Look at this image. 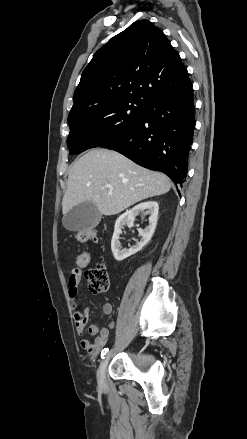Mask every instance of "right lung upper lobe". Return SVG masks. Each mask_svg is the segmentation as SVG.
<instances>
[{"label": "right lung upper lobe", "instance_id": "1", "mask_svg": "<svg viewBox=\"0 0 247 439\" xmlns=\"http://www.w3.org/2000/svg\"><path fill=\"white\" fill-rule=\"evenodd\" d=\"M192 85L164 33L140 20L100 48L84 69L68 117L110 102L153 100Z\"/></svg>", "mask_w": 247, "mask_h": 439}]
</instances>
